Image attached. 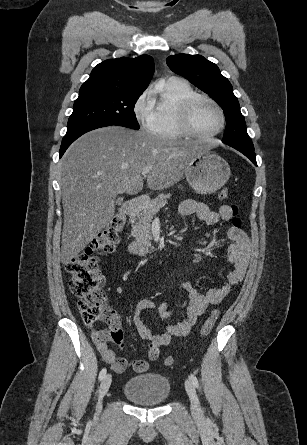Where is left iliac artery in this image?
I'll use <instances>...</instances> for the list:
<instances>
[{"mask_svg":"<svg viewBox=\"0 0 307 445\" xmlns=\"http://www.w3.org/2000/svg\"><path fill=\"white\" fill-rule=\"evenodd\" d=\"M190 379H191L193 385H194L196 388H198V385H199V384H198V380H197L196 376L193 375V374H191V375H190ZM207 420H209V419H207Z\"/></svg>","mask_w":307,"mask_h":445,"instance_id":"left-iliac-artery-1","label":"left iliac artery"}]
</instances>
